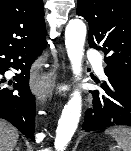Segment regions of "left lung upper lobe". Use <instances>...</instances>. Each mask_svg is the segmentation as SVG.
I'll return each instance as SVG.
<instances>
[{
    "instance_id": "1",
    "label": "left lung upper lobe",
    "mask_w": 131,
    "mask_h": 151,
    "mask_svg": "<svg viewBox=\"0 0 131 151\" xmlns=\"http://www.w3.org/2000/svg\"><path fill=\"white\" fill-rule=\"evenodd\" d=\"M77 15L89 24L91 48L106 55V68L131 78V1L78 0Z\"/></svg>"
}]
</instances>
